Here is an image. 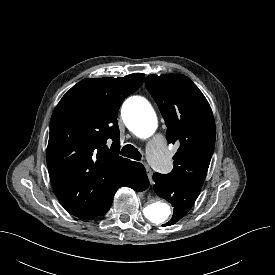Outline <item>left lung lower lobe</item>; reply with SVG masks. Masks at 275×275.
<instances>
[{
  "label": "left lung lower lobe",
  "mask_w": 275,
  "mask_h": 275,
  "mask_svg": "<svg viewBox=\"0 0 275 275\" xmlns=\"http://www.w3.org/2000/svg\"><path fill=\"white\" fill-rule=\"evenodd\" d=\"M154 190L162 198H165L174 207L172 219L166 226L175 224L191 209L196 201L201 187L177 181L169 175L154 173Z\"/></svg>",
  "instance_id": "left-lung-lower-lobe-1"
}]
</instances>
